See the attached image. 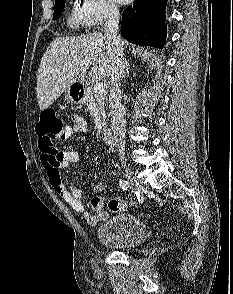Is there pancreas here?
<instances>
[{
    "instance_id": "cf45deb5",
    "label": "pancreas",
    "mask_w": 233,
    "mask_h": 294,
    "mask_svg": "<svg viewBox=\"0 0 233 294\" xmlns=\"http://www.w3.org/2000/svg\"><path fill=\"white\" fill-rule=\"evenodd\" d=\"M104 100H105V97H104L103 93L96 94L92 87L87 86L85 88L82 103L86 104V105L94 103L98 107L99 112H100L101 117H102V121H101V128L102 129H105L106 125H107V123L105 121L106 112H105V101Z\"/></svg>"
}]
</instances>
